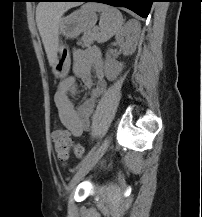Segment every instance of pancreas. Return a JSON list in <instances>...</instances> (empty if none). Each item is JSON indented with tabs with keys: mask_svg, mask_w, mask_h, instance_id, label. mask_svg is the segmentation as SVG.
I'll return each mask as SVG.
<instances>
[{
	"mask_svg": "<svg viewBox=\"0 0 202 217\" xmlns=\"http://www.w3.org/2000/svg\"><path fill=\"white\" fill-rule=\"evenodd\" d=\"M96 33L95 32H87L81 39V44L83 47H89L91 44L94 43L96 40Z\"/></svg>",
	"mask_w": 202,
	"mask_h": 217,
	"instance_id": "obj_1",
	"label": "pancreas"
}]
</instances>
